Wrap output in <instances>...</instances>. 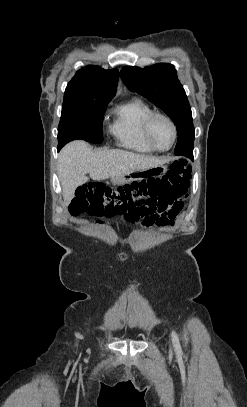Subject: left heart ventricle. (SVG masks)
Segmentation results:
<instances>
[{
    "instance_id": "b2bd125f",
    "label": "left heart ventricle",
    "mask_w": 247,
    "mask_h": 407,
    "mask_svg": "<svg viewBox=\"0 0 247 407\" xmlns=\"http://www.w3.org/2000/svg\"><path fill=\"white\" fill-rule=\"evenodd\" d=\"M151 135L155 144L162 149L168 148L173 140L170 124L162 118H156L151 126Z\"/></svg>"
}]
</instances>
